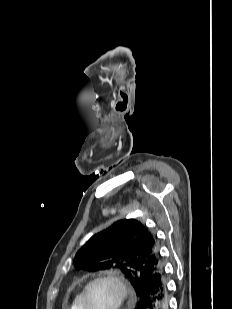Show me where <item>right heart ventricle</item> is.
<instances>
[{
    "label": "right heart ventricle",
    "mask_w": 232,
    "mask_h": 309,
    "mask_svg": "<svg viewBox=\"0 0 232 309\" xmlns=\"http://www.w3.org/2000/svg\"><path fill=\"white\" fill-rule=\"evenodd\" d=\"M81 295L82 292H79L73 299L70 309H82V304H81Z\"/></svg>",
    "instance_id": "1"
}]
</instances>
